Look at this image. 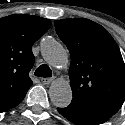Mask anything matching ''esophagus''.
<instances>
[{
	"instance_id": "esophagus-1",
	"label": "esophagus",
	"mask_w": 125,
	"mask_h": 125,
	"mask_svg": "<svg viewBox=\"0 0 125 125\" xmlns=\"http://www.w3.org/2000/svg\"><path fill=\"white\" fill-rule=\"evenodd\" d=\"M41 81L43 84L49 85L54 82V78H42Z\"/></svg>"
}]
</instances>
